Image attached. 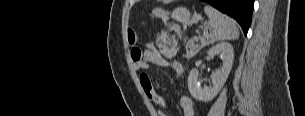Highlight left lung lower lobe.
Instances as JSON below:
<instances>
[{
	"mask_svg": "<svg viewBox=\"0 0 305 116\" xmlns=\"http://www.w3.org/2000/svg\"><path fill=\"white\" fill-rule=\"evenodd\" d=\"M234 18L246 35L251 23L254 0H203Z\"/></svg>",
	"mask_w": 305,
	"mask_h": 116,
	"instance_id": "0a47b994",
	"label": "left lung lower lobe"
}]
</instances>
